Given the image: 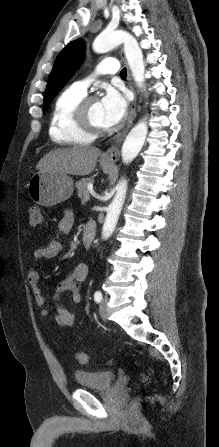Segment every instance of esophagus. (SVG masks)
I'll list each match as a JSON object with an SVG mask.
<instances>
[{"mask_svg": "<svg viewBox=\"0 0 219 447\" xmlns=\"http://www.w3.org/2000/svg\"><path fill=\"white\" fill-rule=\"evenodd\" d=\"M120 54H121V58L126 63L123 49H121ZM126 66H127V63H126ZM127 74H128V80L130 82V87L134 91V88H133V85H132V82H131V75H130L128 66H127ZM135 117H136V96H135V99H134V101H133V103L131 105V109H130L129 116H128L127 123H126L125 127L123 128V130L120 133H118L115 136L113 144L103 154V159L105 161H107L109 163H114V162H116L118 160V158L120 156L119 145L121 144L122 140L124 139V137H125L126 133L128 132L129 128L132 126V123H133V120H134Z\"/></svg>", "mask_w": 219, "mask_h": 447, "instance_id": "1", "label": "esophagus"}]
</instances>
